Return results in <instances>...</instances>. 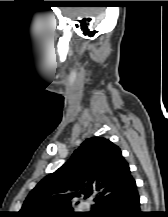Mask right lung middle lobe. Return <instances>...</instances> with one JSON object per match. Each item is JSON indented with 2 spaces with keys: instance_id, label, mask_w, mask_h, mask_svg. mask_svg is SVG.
<instances>
[{
  "instance_id": "1",
  "label": "right lung middle lobe",
  "mask_w": 168,
  "mask_h": 217,
  "mask_svg": "<svg viewBox=\"0 0 168 217\" xmlns=\"http://www.w3.org/2000/svg\"><path fill=\"white\" fill-rule=\"evenodd\" d=\"M53 217H84V216H81V215H55Z\"/></svg>"
}]
</instances>
